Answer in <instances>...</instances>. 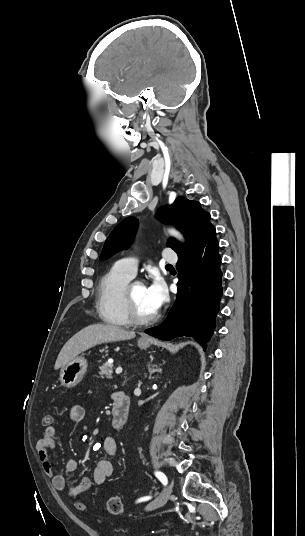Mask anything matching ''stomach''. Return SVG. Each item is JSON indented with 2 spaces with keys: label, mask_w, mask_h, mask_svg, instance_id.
Masks as SVG:
<instances>
[{
  "label": "stomach",
  "mask_w": 305,
  "mask_h": 536,
  "mask_svg": "<svg viewBox=\"0 0 305 536\" xmlns=\"http://www.w3.org/2000/svg\"><path fill=\"white\" fill-rule=\"evenodd\" d=\"M151 340H138V346L141 350L149 348ZM85 372H87V360H84L82 356L74 358L71 362H68L66 366H62L60 370L59 380L61 386L65 388H74L79 382H81Z\"/></svg>",
  "instance_id": "stomach-1"
}]
</instances>
